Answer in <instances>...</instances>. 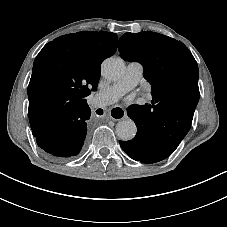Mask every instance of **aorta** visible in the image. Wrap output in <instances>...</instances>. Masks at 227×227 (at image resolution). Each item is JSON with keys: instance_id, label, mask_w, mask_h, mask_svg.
<instances>
[{"instance_id": "aorta-1", "label": "aorta", "mask_w": 227, "mask_h": 227, "mask_svg": "<svg viewBox=\"0 0 227 227\" xmlns=\"http://www.w3.org/2000/svg\"><path fill=\"white\" fill-rule=\"evenodd\" d=\"M101 73L104 78L110 81H116L124 73V63L120 58L108 57L101 65ZM137 132L135 123L130 120H122L116 126L117 136L123 141L132 140Z\"/></svg>"}]
</instances>
